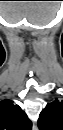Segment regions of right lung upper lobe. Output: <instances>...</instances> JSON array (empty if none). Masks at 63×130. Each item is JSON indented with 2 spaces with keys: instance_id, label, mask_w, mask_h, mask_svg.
I'll list each match as a JSON object with an SVG mask.
<instances>
[{
  "instance_id": "obj_1",
  "label": "right lung upper lobe",
  "mask_w": 63,
  "mask_h": 130,
  "mask_svg": "<svg viewBox=\"0 0 63 130\" xmlns=\"http://www.w3.org/2000/svg\"><path fill=\"white\" fill-rule=\"evenodd\" d=\"M0 127L2 130H30L32 123L18 105L5 99L0 102Z\"/></svg>"
}]
</instances>
